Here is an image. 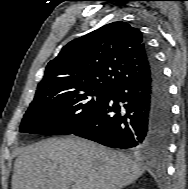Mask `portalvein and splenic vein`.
Wrapping results in <instances>:
<instances>
[{"instance_id": "portal-vein-and-splenic-vein-1", "label": "portal vein and splenic vein", "mask_w": 188, "mask_h": 189, "mask_svg": "<svg viewBox=\"0 0 188 189\" xmlns=\"http://www.w3.org/2000/svg\"><path fill=\"white\" fill-rule=\"evenodd\" d=\"M72 189H81V187L79 184L75 183L73 184Z\"/></svg>"}]
</instances>
